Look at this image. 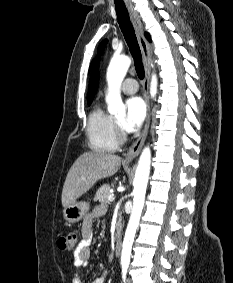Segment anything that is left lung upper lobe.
Segmentation results:
<instances>
[{
	"mask_svg": "<svg viewBox=\"0 0 233 283\" xmlns=\"http://www.w3.org/2000/svg\"><path fill=\"white\" fill-rule=\"evenodd\" d=\"M106 42H107V40H104V41L101 42V44L98 47V51H101L104 48Z\"/></svg>",
	"mask_w": 233,
	"mask_h": 283,
	"instance_id": "left-lung-upper-lobe-1",
	"label": "left lung upper lobe"
}]
</instances>
